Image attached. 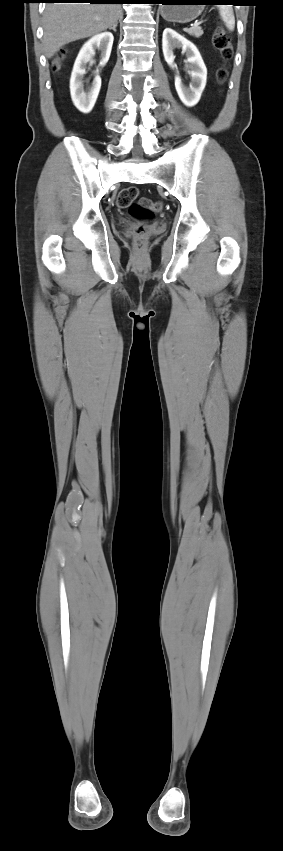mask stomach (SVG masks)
<instances>
[{
	"mask_svg": "<svg viewBox=\"0 0 283 851\" xmlns=\"http://www.w3.org/2000/svg\"><path fill=\"white\" fill-rule=\"evenodd\" d=\"M205 0H170L159 11L170 22L187 23L196 19L204 9Z\"/></svg>",
	"mask_w": 283,
	"mask_h": 851,
	"instance_id": "1",
	"label": "stomach"
}]
</instances>
